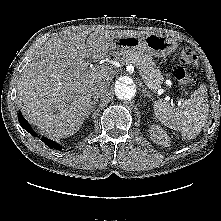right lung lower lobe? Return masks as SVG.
<instances>
[{
	"instance_id": "obj_1",
	"label": "right lung lower lobe",
	"mask_w": 221,
	"mask_h": 221,
	"mask_svg": "<svg viewBox=\"0 0 221 221\" xmlns=\"http://www.w3.org/2000/svg\"><path fill=\"white\" fill-rule=\"evenodd\" d=\"M19 117V122L21 124V126L27 131L29 132L31 135L36 136V133H34V131L32 130V127L30 126V124L23 118L22 114L19 113L18 115ZM41 140L51 149H55V150H62V146H60L58 143L49 140L45 137H42Z\"/></svg>"
}]
</instances>
